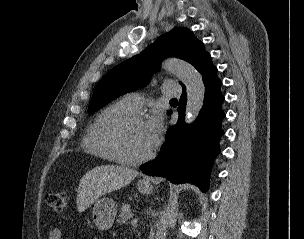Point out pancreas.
<instances>
[{"instance_id":"obj_1","label":"pancreas","mask_w":304,"mask_h":239,"mask_svg":"<svg viewBox=\"0 0 304 239\" xmlns=\"http://www.w3.org/2000/svg\"><path fill=\"white\" fill-rule=\"evenodd\" d=\"M133 217L131 213L130 205L129 204H122L120 208V215H119V223L125 224L130 218Z\"/></svg>"}]
</instances>
